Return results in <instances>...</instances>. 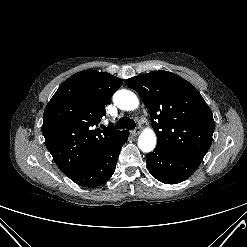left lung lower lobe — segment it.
<instances>
[{"label": "left lung lower lobe", "instance_id": "0a47b994", "mask_svg": "<svg viewBox=\"0 0 247 247\" xmlns=\"http://www.w3.org/2000/svg\"><path fill=\"white\" fill-rule=\"evenodd\" d=\"M149 172L160 182L177 184L189 178L199 167L201 160L171 151L160 145L146 155Z\"/></svg>", "mask_w": 247, "mask_h": 247}]
</instances>
